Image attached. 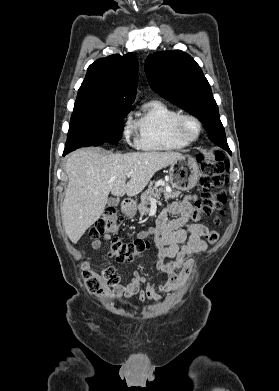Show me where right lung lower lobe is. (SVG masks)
Listing matches in <instances>:
<instances>
[{"mask_svg": "<svg viewBox=\"0 0 279 391\" xmlns=\"http://www.w3.org/2000/svg\"><path fill=\"white\" fill-rule=\"evenodd\" d=\"M67 153H69V152L64 151L63 156H65Z\"/></svg>", "mask_w": 279, "mask_h": 391, "instance_id": "1", "label": "right lung lower lobe"}]
</instances>
